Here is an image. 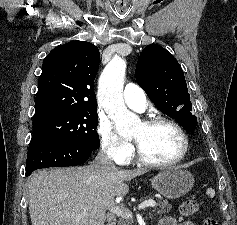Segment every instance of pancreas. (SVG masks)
I'll return each mask as SVG.
<instances>
[{"label":"pancreas","mask_w":237,"mask_h":225,"mask_svg":"<svg viewBox=\"0 0 237 225\" xmlns=\"http://www.w3.org/2000/svg\"><path fill=\"white\" fill-rule=\"evenodd\" d=\"M158 208L157 213L158 214H164L171 210V205L168 204L167 200L164 199H158L157 200ZM118 225H132V220L129 218H120L118 220Z\"/></svg>","instance_id":"obj_1"}]
</instances>
